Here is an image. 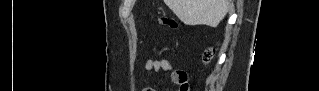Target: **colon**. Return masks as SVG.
<instances>
[{"label": "colon", "mask_w": 319, "mask_h": 91, "mask_svg": "<svg viewBox=\"0 0 319 91\" xmlns=\"http://www.w3.org/2000/svg\"><path fill=\"white\" fill-rule=\"evenodd\" d=\"M160 23L165 25V26H168L170 28H176L177 27V22L172 19V18H169L167 16H162L160 19H159ZM213 56V49L212 48H209L205 51V54H204V58H205V61H209ZM178 84L180 85V90L181 91H188L189 90V84H188V79H187V76L183 73H180L179 75V78H178Z\"/></svg>", "instance_id": "colon-1"}]
</instances>
